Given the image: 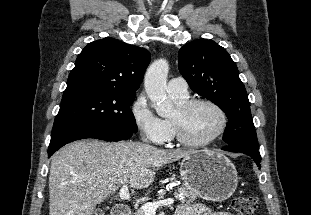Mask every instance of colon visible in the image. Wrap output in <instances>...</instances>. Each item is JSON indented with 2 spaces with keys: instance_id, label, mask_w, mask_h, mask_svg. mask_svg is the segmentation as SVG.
Returning a JSON list of instances; mask_svg holds the SVG:
<instances>
[{
  "instance_id": "obj_1",
  "label": "colon",
  "mask_w": 311,
  "mask_h": 215,
  "mask_svg": "<svg viewBox=\"0 0 311 215\" xmlns=\"http://www.w3.org/2000/svg\"><path fill=\"white\" fill-rule=\"evenodd\" d=\"M257 199L255 197H236L232 200L231 206L238 215H254L257 209Z\"/></svg>"
}]
</instances>
